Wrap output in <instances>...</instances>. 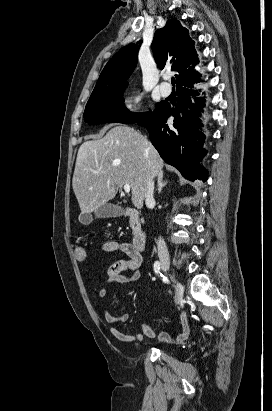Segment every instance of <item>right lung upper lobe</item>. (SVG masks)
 Returning <instances> with one entry per match:
<instances>
[{
  "label": "right lung upper lobe",
  "instance_id": "1",
  "mask_svg": "<svg viewBox=\"0 0 272 411\" xmlns=\"http://www.w3.org/2000/svg\"><path fill=\"white\" fill-rule=\"evenodd\" d=\"M139 41L138 44H141ZM195 42L189 37L188 30L176 19L169 20L166 25L154 34L152 49L154 58L160 69L166 65L178 72L177 87L198 79L194 66L198 63L194 49ZM140 45L129 44L119 50L106 64L95 89L115 84L127 83L137 64Z\"/></svg>",
  "mask_w": 272,
  "mask_h": 411
}]
</instances>
